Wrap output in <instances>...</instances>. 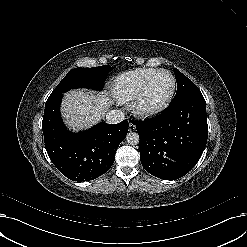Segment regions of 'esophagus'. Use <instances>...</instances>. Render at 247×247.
Here are the masks:
<instances>
[{"label":"esophagus","instance_id":"34e87169","mask_svg":"<svg viewBox=\"0 0 247 247\" xmlns=\"http://www.w3.org/2000/svg\"><path fill=\"white\" fill-rule=\"evenodd\" d=\"M135 129H136V126L133 123H130L129 124V131L133 132V131H135Z\"/></svg>","mask_w":247,"mask_h":247}]
</instances>
